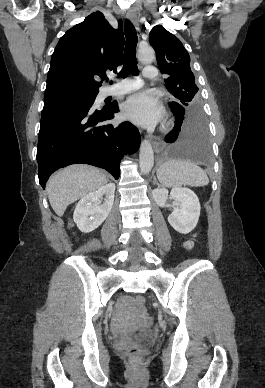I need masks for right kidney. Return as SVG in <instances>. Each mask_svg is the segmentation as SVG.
<instances>
[{
    "label": "right kidney",
    "mask_w": 265,
    "mask_h": 388,
    "mask_svg": "<svg viewBox=\"0 0 265 388\" xmlns=\"http://www.w3.org/2000/svg\"><path fill=\"white\" fill-rule=\"evenodd\" d=\"M115 184H106L96 192L86 194L78 202L75 210L73 220L77 224L80 232L88 234L93 232L98 226L105 222L108 214L112 210L114 204ZM104 198L103 204H100L101 198Z\"/></svg>",
    "instance_id": "obj_1"
}]
</instances>
